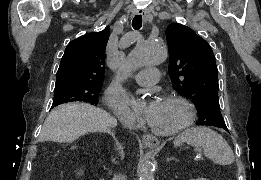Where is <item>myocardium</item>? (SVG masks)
Masks as SVG:
<instances>
[{"instance_id":"f54148a6","label":"myocardium","mask_w":261,"mask_h":180,"mask_svg":"<svg viewBox=\"0 0 261 180\" xmlns=\"http://www.w3.org/2000/svg\"><path fill=\"white\" fill-rule=\"evenodd\" d=\"M164 98L177 100L185 107V115L179 129L168 134H154L149 130L148 126L145 123L146 131L149 135H153L160 140H176L180 138L192 124L194 118V106L189 98L177 91H169L165 93Z\"/></svg>"}]
</instances>
